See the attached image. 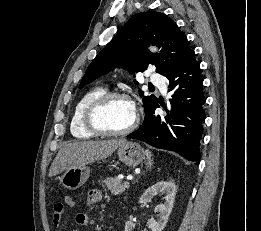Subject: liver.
Listing matches in <instances>:
<instances>
[{
    "label": "liver",
    "mask_w": 261,
    "mask_h": 231,
    "mask_svg": "<svg viewBox=\"0 0 261 231\" xmlns=\"http://www.w3.org/2000/svg\"><path fill=\"white\" fill-rule=\"evenodd\" d=\"M124 139L103 141H78L65 144L56 155L49 170V177L55 176L69 168L85 166L95 160L110 156Z\"/></svg>",
    "instance_id": "1"
}]
</instances>
